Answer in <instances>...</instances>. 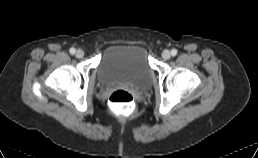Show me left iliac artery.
<instances>
[{
	"label": "left iliac artery",
	"mask_w": 258,
	"mask_h": 158,
	"mask_svg": "<svg viewBox=\"0 0 258 158\" xmlns=\"http://www.w3.org/2000/svg\"><path fill=\"white\" fill-rule=\"evenodd\" d=\"M171 55L172 56H176L177 55V50L176 49H172L171 50Z\"/></svg>",
	"instance_id": "44dca946"
}]
</instances>
